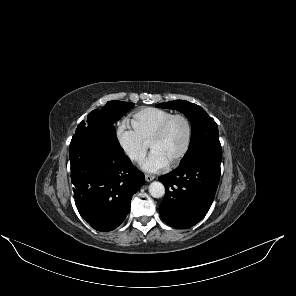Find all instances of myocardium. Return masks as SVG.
I'll list each match as a JSON object with an SVG mask.
<instances>
[{
  "instance_id": "1",
  "label": "myocardium",
  "mask_w": 296,
  "mask_h": 296,
  "mask_svg": "<svg viewBox=\"0 0 296 296\" xmlns=\"http://www.w3.org/2000/svg\"><path fill=\"white\" fill-rule=\"evenodd\" d=\"M182 119L184 120V122L186 123L187 126V139H186V143L185 146L183 148V150L181 151V153L178 155V157L173 160L170 165L171 166H175L177 164H179L188 154L191 144H192V139H193V126H192V122L190 120V118L183 113H177V114H172L169 118H167L164 123L161 125V127L159 128V130L157 131V133L155 134L154 138L152 139L151 143H150V147L151 149L153 148V146L160 142L166 135L168 128L170 127L171 123L175 120V119Z\"/></svg>"
}]
</instances>
